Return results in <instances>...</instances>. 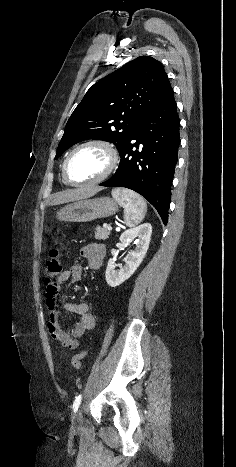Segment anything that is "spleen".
Masks as SVG:
<instances>
[{"mask_svg":"<svg viewBox=\"0 0 236 467\" xmlns=\"http://www.w3.org/2000/svg\"><path fill=\"white\" fill-rule=\"evenodd\" d=\"M111 194L124 208V221L128 227L142 222L147 212V204L139 194L126 188L113 189Z\"/></svg>","mask_w":236,"mask_h":467,"instance_id":"3e777b00","label":"spleen"}]
</instances>
